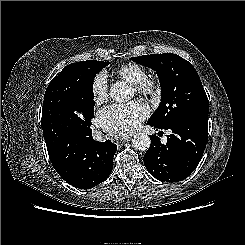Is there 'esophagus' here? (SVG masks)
Wrapping results in <instances>:
<instances>
[{
	"label": "esophagus",
	"mask_w": 245,
	"mask_h": 245,
	"mask_svg": "<svg viewBox=\"0 0 245 245\" xmlns=\"http://www.w3.org/2000/svg\"><path fill=\"white\" fill-rule=\"evenodd\" d=\"M131 139V136L125 138V139H120V140H117V143H124L125 141H128Z\"/></svg>",
	"instance_id": "esophagus-1"
}]
</instances>
